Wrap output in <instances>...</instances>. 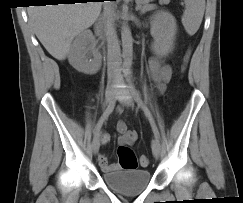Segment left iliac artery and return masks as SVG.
Listing matches in <instances>:
<instances>
[{
    "instance_id": "left-iliac-artery-1",
    "label": "left iliac artery",
    "mask_w": 243,
    "mask_h": 203,
    "mask_svg": "<svg viewBox=\"0 0 243 203\" xmlns=\"http://www.w3.org/2000/svg\"><path fill=\"white\" fill-rule=\"evenodd\" d=\"M131 89H132V93H133V96H134V100L136 101L137 105L144 111V114L146 115V117L148 118V120L151 124V127H152V130H153L155 137L157 139H159V132H158V129L156 127V124L154 122V119H153L149 109L143 103V101H142L141 97L139 96V94L137 93L136 89L133 86H132Z\"/></svg>"
}]
</instances>
